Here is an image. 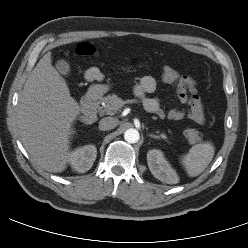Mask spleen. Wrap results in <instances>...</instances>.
Here are the masks:
<instances>
[{"label": "spleen", "instance_id": "3e777b00", "mask_svg": "<svg viewBox=\"0 0 248 248\" xmlns=\"http://www.w3.org/2000/svg\"><path fill=\"white\" fill-rule=\"evenodd\" d=\"M214 153L215 148L211 142L199 143L181 157V163L190 177H196L208 167Z\"/></svg>", "mask_w": 248, "mask_h": 248}]
</instances>
